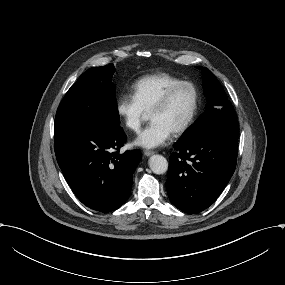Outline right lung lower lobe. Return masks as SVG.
<instances>
[{"label": "right lung lower lobe", "mask_w": 285, "mask_h": 285, "mask_svg": "<svg viewBox=\"0 0 285 285\" xmlns=\"http://www.w3.org/2000/svg\"><path fill=\"white\" fill-rule=\"evenodd\" d=\"M126 135L118 128L94 125L54 126L58 165L77 198L100 212L118 209L129 197L139 150L119 153Z\"/></svg>", "instance_id": "1"}]
</instances>
